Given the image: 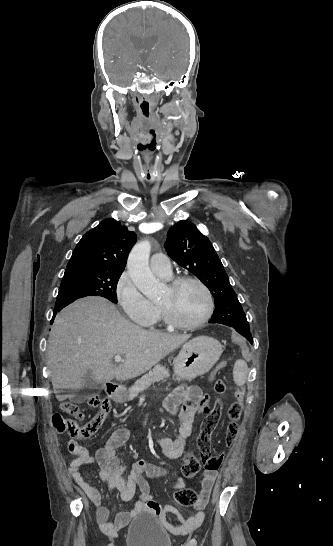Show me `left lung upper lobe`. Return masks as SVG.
<instances>
[{
    "instance_id": "obj_1",
    "label": "left lung upper lobe",
    "mask_w": 333,
    "mask_h": 546,
    "mask_svg": "<svg viewBox=\"0 0 333 546\" xmlns=\"http://www.w3.org/2000/svg\"><path fill=\"white\" fill-rule=\"evenodd\" d=\"M168 255L180 266L196 275L215 298L212 318L235 326L247 321L224 267L208 237L190 221L173 225L164 244Z\"/></svg>"
}]
</instances>
